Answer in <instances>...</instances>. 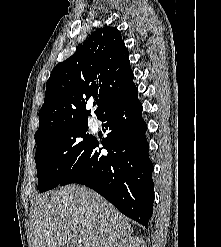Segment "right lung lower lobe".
I'll return each mask as SVG.
<instances>
[{
	"instance_id": "1",
	"label": "right lung lower lobe",
	"mask_w": 221,
	"mask_h": 247,
	"mask_svg": "<svg viewBox=\"0 0 221 247\" xmlns=\"http://www.w3.org/2000/svg\"><path fill=\"white\" fill-rule=\"evenodd\" d=\"M137 88L107 108L98 119L107 137L92 136L88 146L59 185L84 184L110 201L123 214L147 228L153 212V165L145 137Z\"/></svg>"
}]
</instances>
